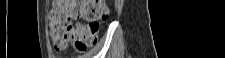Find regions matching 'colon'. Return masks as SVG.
<instances>
[{
	"label": "colon",
	"mask_w": 225,
	"mask_h": 58,
	"mask_svg": "<svg viewBox=\"0 0 225 58\" xmlns=\"http://www.w3.org/2000/svg\"><path fill=\"white\" fill-rule=\"evenodd\" d=\"M105 0H58L50 13V36L57 49L68 41L79 52H85L97 41L100 22L108 18ZM84 18L86 25L72 28V19Z\"/></svg>",
	"instance_id": "obj_1"
}]
</instances>
